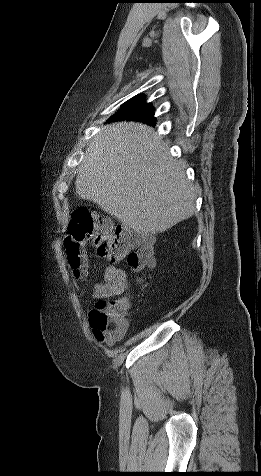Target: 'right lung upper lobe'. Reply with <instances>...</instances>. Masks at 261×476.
Instances as JSON below:
<instances>
[{"label": "right lung upper lobe", "mask_w": 261, "mask_h": 476, "mask_svg": "<svg viewBox=\"0 0 261 476\" xmlns=\"http://www.w3.org/2000/svg\"><path fill=\"white\" fill-rule=\"evenodd\" d=\"M143 97H133L132 99H130L128 102H143ZM153 124V123H151Z\"/></svg>", "instance_id": "obj_1"}]
</instances>
